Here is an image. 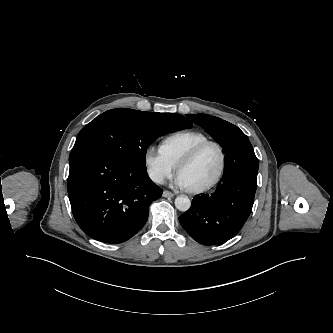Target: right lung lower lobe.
I'll return each instance as SVG.
<instances>
[{
	"instance_id": "98d812e1",
	"label": "right lung lower lobe",
	"mask_w": 333,
	"mask_h": 333,
	"mask_svg": "<svg viewBox=\"0 0 333 333\" xmlns=\"http://www.w3.org/2000/svg\"><path fill=\"white\" fill-rule=\"evenodd\" d=\"M69 164L67 187L74 218L95 240L122 243L131 238L146 223L150 204L163 193L146 168L132 167L91 145L73 147Z\"/></svg>"
}]
</instances>
